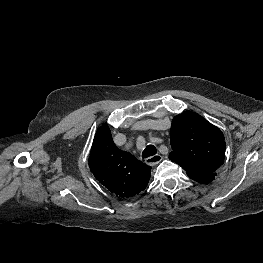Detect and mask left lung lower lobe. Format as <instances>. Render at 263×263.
I'll list each match as a JSON object with an SVG mask.
<instances>
[{
    "instance_id": "obj_1",
    "label": "left lung lower lobe",
    "mask_w": 263,
    "mask_h": 263,
    "mask_svg": "<svg viewBox=\"0 0 263 263\" xmlns=\"http://www.w3.org/2000/svg\"><path fill=\"white\" fill-rule=\"evenodd\" d=\"M192 179L197 181V182H199V183L207 184V183L211 182L214 179V177L212 178V177H209V176H205V177H200L199 176V177H192Z\"/></svg>"
}]
</instances>
